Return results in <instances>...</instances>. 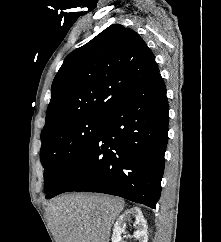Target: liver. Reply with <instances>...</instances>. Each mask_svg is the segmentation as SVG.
<instances>
[{"label": "liver", "instance_id": "1", "mask_svg": "<svg viewBox=\"0 0 221 242\" xmlns=\"http://www.w3.org/2000/svg\"><path fill=\"white\" fill-rule=\"evenodd\" d=\"M118 197L68 194L48 205L56 242H109L111 227L124 209Z\"/></svg>", "mask_w": 221, "mask_h": 242}]
</instances>
